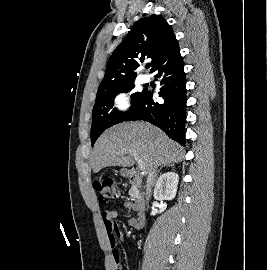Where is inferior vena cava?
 I'll list each match as a JSON object with an SVG mask.
<instances>
[{
    "label": "inferior vena cava",
    "instance_id": "obj_1",
    "mask_svg": "<svg viewBox=\"0 0 267 270\" xmlns=\"http://www.w3.org/2000/svg\"><path fill=\"white\" fill-rule=\"evenodd\" d=\"M156 169L157 167L154 166L153 168H151V170L148 173L147 183H146V193H145L147 201H149L151 197L152 187L154 186V183H155V179L157 175Z\"/></svg>",
    "mask_w": 267,
    "mask_h": 270
}]
</instances>
